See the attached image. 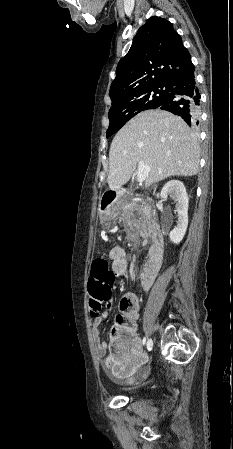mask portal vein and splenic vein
Returning <instances> with one entry per match:
<instances>
[{"label":"portal vein and splenic vein","instance_id":"obj_1","mask_svg":"<svg viewBox=\"0 0 233 449\" xmlns=\"http://www.w3.org/2000/svg\"><path fill=\"white\" fill-rule=\"evenodd\" d=\"M150 171V166L145 164L143 161L138 162V172H137V181L142 183L148 176Z\"/></svg>","mask_w":233,"mask_h":449}]
</instances>
